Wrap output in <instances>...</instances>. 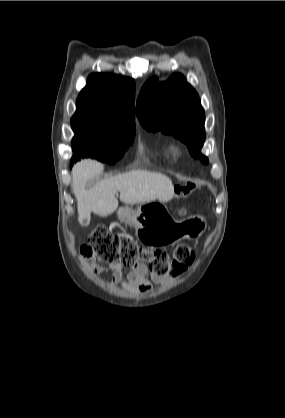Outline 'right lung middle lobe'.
<instances>
[{"label":"right lung middle lobe","instance_id":"dd1d6c3e","mask_svg":"<svg viewBox=\"0 0 285 418\" xmlns=\"http://www.w3.org/2000/svg\"><path fill=\"white\" fill-rule=\"evenodd\" d=\"M71 126L75 136L70 163L89 157L114 164L132 144L135 135V127L84 118L72 117Z\"/></svg>","mask_w":285,"mask_h":418}]
</instances>
